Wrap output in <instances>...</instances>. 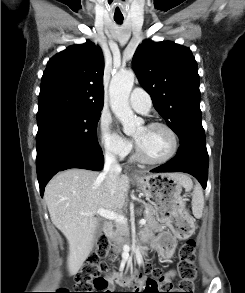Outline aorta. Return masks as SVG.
Here are the masks:
<instances>
[{"instance_id":"aorta-1","label":"aorta","mask_w":245,"mask_h":293,"mask_svg":"<svg viewBox=\"0 0 245 293\" xmlns=\"http://www.w3.org/2000/svg\"><path fill=\"white\" fill-rule=\"evenodd\" d=\"M133 71H122L115 74L110 82L109 95L113 113L123 126L127 135L135 133L137 126L142 123L129 106V95L134 85Z\"/></svg>"}]
</instances>
